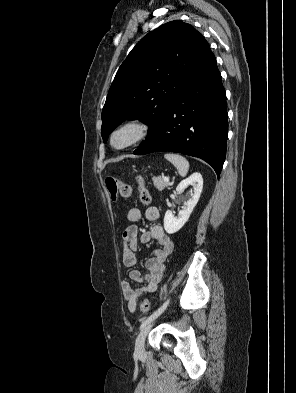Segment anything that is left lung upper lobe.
I'll use <instances>...</instances> for the list:
<instances>
[{
	"mask_svg": "<svg viewBox=\"0 0 296 393\" xmlns=\"http://www.w3.org/2000/svg\"><path fill=\"white\" fill-rule=\"evenodd\" d=\"M211 54L205 38L180 20L163 24L142 38L120 66L109 89L102 110L104 142L131 116L144 117L142 121L149 126L147 140Z\"/></svg>",
	"mask_w": 296,
	"mask_h": 393,
	"instance_id": "obj_1",
	"label": "left lung upper lobe"
}]
</instances>
